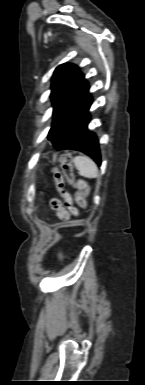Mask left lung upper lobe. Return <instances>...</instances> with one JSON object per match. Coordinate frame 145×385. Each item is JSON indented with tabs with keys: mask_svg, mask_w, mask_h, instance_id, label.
<instances>
[{
	"mask_svg": "<svg viewBox=\"0 0 145 385\" xmlns=\"http://www.w3.org/2000/svg\"><path fill=\"white\" fill-rule=\"evenodd\" d=\"M88 88L84 76L75 65L62 64L56 68L51 92L54 120L49 131V140H51L63 119L87 93Z\"/></svg>",
	"mask_w": 145,
	"mask_h": 385,
	"instance_id": "left-lung-upper-lobe-1",
	"label": "left lung upper lobe"
}]
</instances>
